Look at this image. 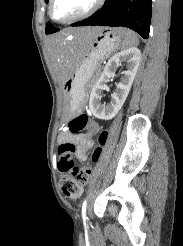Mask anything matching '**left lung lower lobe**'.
<instances>
[{
  "label": "left lung lower lobe",
  "mask_w": 183,
  "mask_h": 246,
  "mask_svg": "<svg viewBox=\"0 0 183 246\" xmlns=\"http://www.w3.org/2000/svg\"><path fill=\"white\" fill-rule=\"evenodd\" d=\"M151 15V0H105L100 11L71 26H122L136 31L147 39Z\"/></svg>",
  "instance_id": "1"
}]
</instances>
